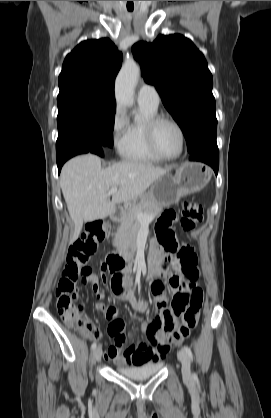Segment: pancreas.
Listing matches in <instances>:
<instances>
[{
  "label": "pancreas",
  "mask_w": 271,
  "mask_h": 418,
  "mask_svg": "<svg viewBox=\"0 0 271 418\" xmlns=\"http://www.w3.org/2000/svg\"><path fill=\"white\" fill-rule=\"evenodd\" d=\"M162 210L152 199H142L125 209L121 224L115 235V244L123 249L135 248L138 232L142 223L137 214L142 213L148 217H156Z\"/></svg>",
  "instance_id": "obj_1"
}]
</instances>
